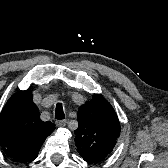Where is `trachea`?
Here are the masks:
<instances>
[{
	"instance_id": "3493384b",
	"label": "trachea",
	"mask_w": 168,
	"mask_h": 168,
	"mask_svg": "<svg viewBox=\"0 0 168 168\" xmlns=\"http://www.w3.org/2000/svg\"><path fill=\"white\" fill-rule=\"evenodd\" d=\"M55 118L59 119V120H62V119L65 118V114H64V111H63V106H62L61 103H57V105H56Z\"/></svg>"
}]
</instances>
